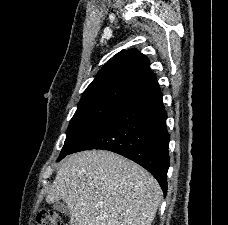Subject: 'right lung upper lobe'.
I'll list each match as a JSON object with an SVG mask.
<instances>
[{
	"mask_svg": "<svg viewBox=\"0 0 228 225\" xmlns=\"http://www.w3.org/2000/svg\"><path fill=\"white\" fill-rule=\"evenodd\" d=\"M149 65L148 58L138 50H122L105 64L87 89L109 83H124L142 90L156 81V75Z\"/></svg>",
	"mask_w": 228,
	"mask_h": 225,
	"instance_id": "cb5924a9",
	"label": "right lung upper lobe"
}]
</instances>
